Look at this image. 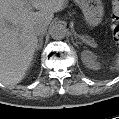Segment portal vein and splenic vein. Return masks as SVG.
<instances>
[{
    "instance_id": "18ae733b",
    "label": "portal vein and splenic vein",
    "mask_w": 119,
    "mask_h": 119,
    "mask_svg": "<svg viewBox=\"0 0 119 119\" xmlns=\"http://www.w3.org/2000/svg\"><path fill=\"white\" fill-rule=\"evenodd\" d=\"M80 38H81L85 43H87V44H89V45L95 47V45H96L95 42H93V41H91V40H87V39H85L84 37H81V36H80Z\"/></svg>"
}]
</instances>
